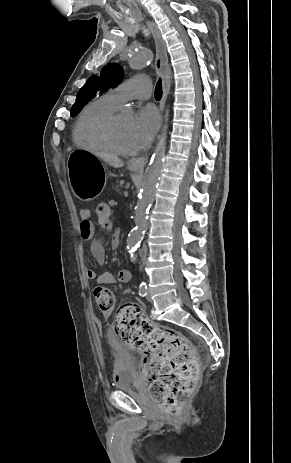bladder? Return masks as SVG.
<instances>
[{"label": "bladder", "mask_w": 291, "mask_h": 463, "mask_svg": "<svg viewBox=\"0 0 291 463\" xmlns=\"http://www.w3.org/2000/svg\"><path fill=\"white\" fill-rule=\"evenodd\" d=\"M137 376L134 371V359L131 356L118 354L114 365V381L118 389L133 388Z\"/></svg>", "instance_id": "31cf9c89"}]
</instances>
